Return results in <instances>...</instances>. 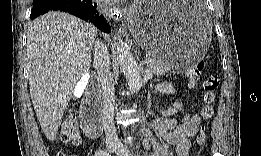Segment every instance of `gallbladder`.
<instances>
[{
    "label": "gallbladder",
    "instance_id": "obj_1",
    "mask_svg": "<svg viewBox=\"0 0 261 156\" xmlns=\"http://www.w3.org/2000/svg\"><path fill=\"white\" fill-rule=\"evenodd\" d=\"M88 74L89 73H86L85 75L80 77V80H78V82L76 83L73 92V96L75 97L73 98L72 101H78V98H80V96L83 95L82 92H84V90L86 89V85L88 84L89 78L91 77ZM72 104H76V103H72Z\"/></svg>",
    "mask_w": 261,
    "mask_h": 156
}]
</instances>
